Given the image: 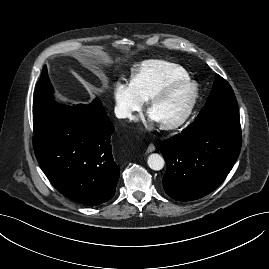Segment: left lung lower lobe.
Instances as JSON below:
<instances>
[{"label":"left lung lower lobe","instance_id":"left-lung-lower-lobe-1","mask_svg":"<svg viewBox=\"0 0 269 269\" xmlns=\"http://www.w3.org/2000/svg\"><path fill=\"white\" fill-rule=\"evenodd\" d=\"M241 148L238 108L199 114L181 133L163 141L165 192L177 201L199 199L226 178Z\"/></svg>","mask_w":269,"mask_h":269}]
</instances>
